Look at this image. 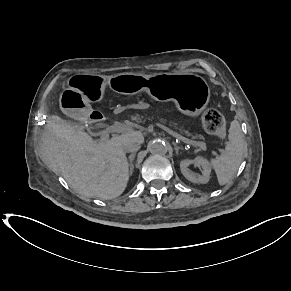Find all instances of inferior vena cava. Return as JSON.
Wrapping results in <instances>:
<instances>
[{"instance_id":"obj_1","label":"inferior vena cava","mask_w":291,"mask_h":291,"mask_svg":"<svg viewBox=\"0 0 291 291\" xmlns=\"http://www.w3.org/2000/svg\"><path fill=\"white\" fill-rule=\"evenodd\" d=\"M141 144L139 142L131 141V142H126L123 145V150L125 152H136L140 149Z\"/></svg>"}]
</instances>
